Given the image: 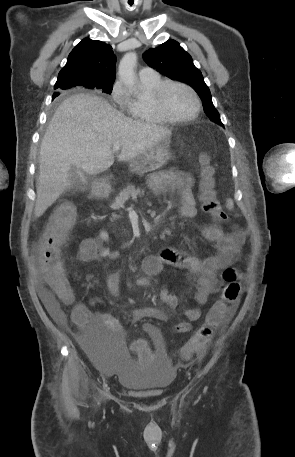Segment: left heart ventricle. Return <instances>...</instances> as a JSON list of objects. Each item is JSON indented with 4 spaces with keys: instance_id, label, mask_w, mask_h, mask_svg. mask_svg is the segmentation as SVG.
I'll use <instances>...</instances> for the list:
<instances>
[{
    "instance_id": "left-heart-ventricle-1",
    "label": "left heart ventricle",
    "mask_w": 295,
    "mask_h": 457,
    "mask_svg": "<svg viewBox=\"0 0 295 457\" xmlns=\"http://www.w3.org/2000/svg\"><path fill=\"white\" fill-rule=\"evenodd\" d=\"M165 107L174 117H186L194 112L195 101L188 90L172 86L165 94Z\"/></svg>"
}]
</instances>
